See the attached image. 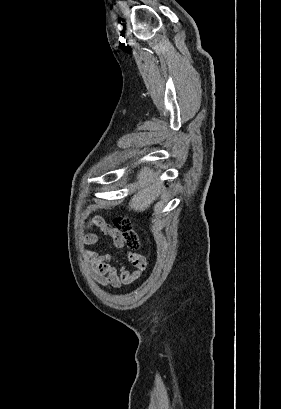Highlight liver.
Returning a JSON list of instances; mask_svg holds the SVG:
<instances>
[{"instance_id":"1","label":"liver","mask_w":281,"mask_h":409,"mask_svg":"<svg viewBox=\"0 0 281 409\" xmlns=\"http://www.w3.org/2000/svg\"><path fill=\"white\" fill-rule=\"evenodd\" d=\"M156 174L151 170V168H142L137 174V178L141 184L136 194H133L130 202H128V207L130 211H137V213H142L149 209L152 202L156 200L157 196L161 194V188L159 182H154Z\"/></svg>"}]
</instances>
